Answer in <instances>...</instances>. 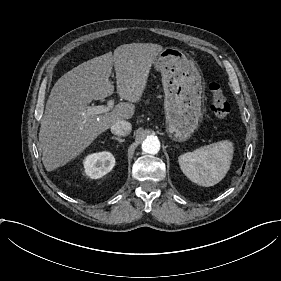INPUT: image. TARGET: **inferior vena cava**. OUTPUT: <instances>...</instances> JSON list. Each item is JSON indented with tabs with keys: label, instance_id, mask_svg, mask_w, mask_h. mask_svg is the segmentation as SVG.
Returning a JSON list of instances; mask_svg holds the SVG:
<instances>
[{
	"label": "inferior vena cava",
	"instance_id": "obj_1",
	"mask_svg": "<svg viewBox=\"0 0 281 281\" xmlns=\"http://www.w3.org/2000/svg\"><path fill=\"white\" fill-rule=\"evenodd\" d=\"M131 123L125 120L117 121L111 126V132L118 136H127L131 133Z\"/></svg>",
	"mask_w": 281,
	"mask_h": 281
}]
</instances>
